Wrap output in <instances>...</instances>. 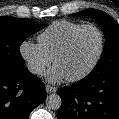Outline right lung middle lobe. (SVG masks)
<instances>
[{
  "label": "right lung middle lobe",
  "mask_w": 119,
  "mask_h": 119,
  "mask_svg": "<svg viewBox=\"0 0 119 119\" xmlns=\"http://www.w3.org/2000/svg\"><path fill=\"white\" fill-rule=\"evenodd\" d=\"M45 26L30 19L0 17V66L24 65L19 50L21 43Z\"/></svg>",
  "instance_id": "1"
}]
</instances>
